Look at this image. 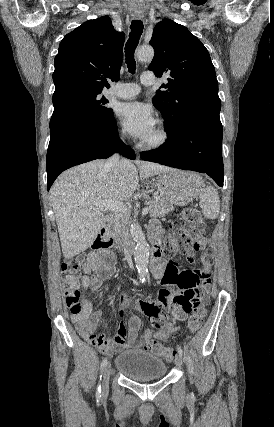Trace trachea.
Here are the masks:
<instances>
[{"label": "trachea", "mask_w": 274, "mask_h": 427, "mask_svg": "<svg viewBox=\"0 0 274 427\" xmlns=\"http://www.w3.org/2000/svg\"><path fill=\"white\" fill-rule=\"evenodd\" d=\"M130 28L131 32L125 46V57L129 72L134 74L136 70L134 53L139 43L140 36L143 33V22L141 20H133Z\"/></svg>", "instance_id": "trachea-1"}]
</instances>
